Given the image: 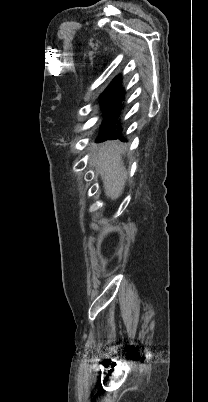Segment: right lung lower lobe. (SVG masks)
Returning <instances> with one entry per match:
<instances>
[{
    "label": "right lung lower lobe",
    "instance_id": "98d812e1",
    "mask_svg": "<svg viewBox=\"0 0 208 402\" xmlns=\"http://www.w3.org/2000/svg\"><path fill=\"white\" fill-rule=\"evenodd\" d=\"M119 81H120V78L115 80L112 83L111 88L113 90H117V91L120 92ZM115 127H116V125L115 124L114 125L110 124L109 120L104 121V127H103V130H102V133L99 135V137L97 138L96 141L100 142V141H104V140H107V139H117V138L123 140L121 138V131L119 129L117 131H115Z\"/></svg>",
    "mask_w": 208,
    "mask_h": 402
}]
</instances>
